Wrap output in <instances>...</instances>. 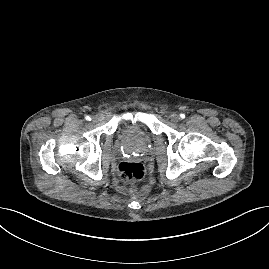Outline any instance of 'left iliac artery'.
I'll return each instance as SVG.
<instances>
[{"instance_id":"obj_1","label":"left iliac artery","mask_w":269,"mask_h":269,"mask_svg":"<svg viewBox=\"0 0 269 269\" xmlns=\"http://www.w3.org/2000/svg\"><path fill=\"white\" fill-rule=\"evenodd\" d=\"M180 118L184 119L185 118V114H180Z\"/></svg>"}]
</instances>
